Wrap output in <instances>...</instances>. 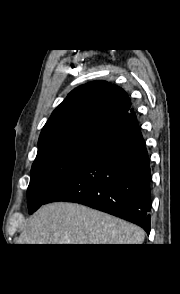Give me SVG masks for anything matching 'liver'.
Masks as SVG:
<instances>
[{
  "instance_id": "6515ba94",
  "label": "liver",
  "mask_w": 180,
  "mask_h": 294,
  "mask_svg": "<svg viewBox=\"0 0 180 294\" xmlns=\"http://www.w3.org/2000/svg\"><path fill=\"white\" fill-rule=\"evenodd\" d=\"M137 225L76 203L41 207L20 234L18 244H142Z\"/></svg>"
}]
</instances>
